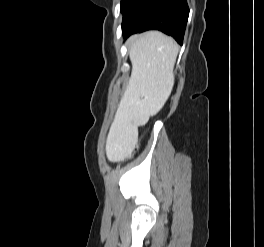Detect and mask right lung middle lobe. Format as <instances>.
I'll use <instances>...</instances> for the list:
<instances>
[{
    "label": "right lung middle lobe",
    "mask_w": 264,
    "mask_h": 247,
    "mask_svg": "<svg viewBox=\"0 0 264 247\" xmlns=\"http://www.w3.org/2000/svg\"><path fill=\"white\" fill-rule=\"evenodd\" d=\"M130 2V0H121L120 3V11L123 13L127 4Z\"/></svg>",
    "instance_id": "right-lung-middle-lobe-1"
}]
</instances>
